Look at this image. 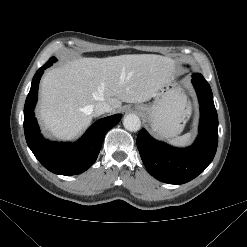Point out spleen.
<instances>
[{
  "instance_id": "obj_1",
  "label": "spleen",
  "mask_w": 247,
  "mask_h": 247,
  "mask_svg": "<svg viewBox=\"0 0 247 247\" xmlns=\"http://www.w3.org/2000/svg\"><path fill=\"white\" fill-rule=\"evenodd\" d=\"M193 134L188 132L182 136L176 137L169 141L170 144L179 147H185L191 143Z\"/></svg>"
}]
</instances>
